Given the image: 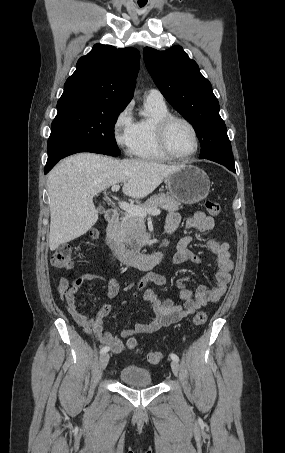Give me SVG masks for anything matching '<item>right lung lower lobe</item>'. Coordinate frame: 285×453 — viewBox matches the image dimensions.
Segmentation results:
<instances>
[{
	"label": "right lung lower lobe",
	"mask_w": 285,
	"mask_h": 453,
	"mask_svg": "<svg viewBox=\"0 0 285 453\" xmlns=\"http://www.w3.org/2000/svg\"><path fill=\"white\" fill-rule=\"evenodd\" d=\"M47 149L48 160L45 166V174H47L60 159L66 156L78 152L98 153L93 146L62 129H51Z\"/></svg>",
	"instance_id": "obj_1"
}]
</instances>
